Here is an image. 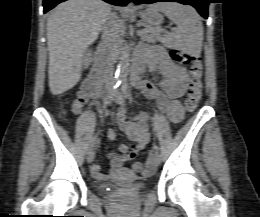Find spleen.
<instances>
[{"mask_svg": "<svg viewBox=\"0 0 260 217\" xmlns=\"http://www.w3.org/2000/svg\"><path fill=\"white\" fill-rule=\"evenodd\" d=\"M153 9L164 13L177 28L174 33L164 35L163 43L189 54H199L203 41V25L197 12L179 3H157Z\"/></svg>", "mask_w": 260, "mask_h": 217, "instance_id": "obj_1", "label": "spleen"}]
</instances>
